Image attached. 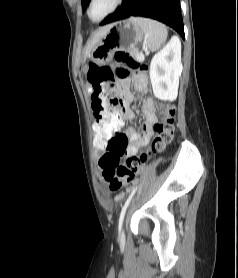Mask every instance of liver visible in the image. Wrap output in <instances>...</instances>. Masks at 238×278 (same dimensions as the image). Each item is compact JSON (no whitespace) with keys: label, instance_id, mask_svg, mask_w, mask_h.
Returning <instances> with one entry per match:
<instances>
[{"label":"liver","instance_id":"liver-1","mask_svg":"<svg viewBox=\"0 0 238 278\" xmlns=\"http://www.w3.org/2000/svg\"><path fill=\"white\" fill-rule=\"evenodd\" d=\"M109 26H105L101 29H99L95 35L92 37L91 41L89 42V44L87 45L86 47V50H85V58L90 54L93 46L99 41L100 38H102L106 31L108 30Z\"/></svg>","mask_w":238,"mask_h":278}]
</instances>
